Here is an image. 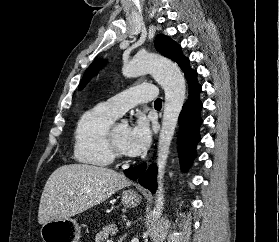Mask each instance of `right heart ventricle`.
Instances as JSON below:
<instances>
[{
  "mask_svg": "<svg viewBox=\"0 0 279 242\" xmlns=\"http://www.w3.org/2000/svg\"><path fill=\"white\" fill-rule=\"evenodd\" d=\"M117 117L104 103L81 115L74 131L76 161L97 167H107L113 162L108 134Z\"/></svg>",
  "mask_w": 279,
  "mask_h": 242,
  "instance_id": "1",
  "label": "right heart ventricle"
}]
</instances>
